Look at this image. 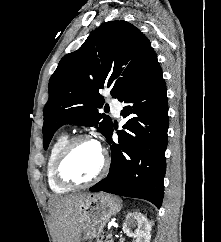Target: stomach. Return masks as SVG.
<instances>
[{
  "instance_id": "1",
  "label": "stomach",
  "mask_w": 221,
  "mask_h": 242,
  "mask_svg": "<svg viewBox=\"0 0 221 242\" xmlns=\"http://www.w3.org/2000/svg\"><path fill=\"white\" fill-rule=\"evenodd\" d=\"M121 210V200L109 194H89L77 209L84 239L98 238L105 223Z\"/></svg>"
}]
</instances>
